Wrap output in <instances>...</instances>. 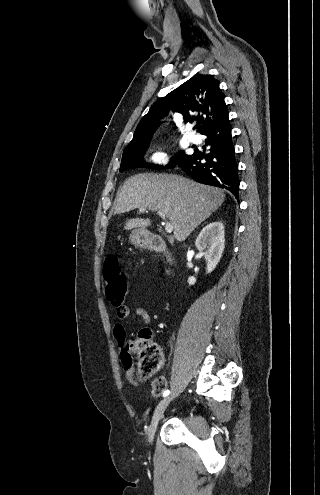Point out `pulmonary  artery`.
<instances>
[{
    "label": "pulmonary artery",
    "instance_id": "pulmonary-artery-1",
    "mask_svg": "<svg viewBox=\"0 0 320 495\" xmlns=\"http://www.w3.org/2000/svg\"><path fill=\"white\" fill-rule=\"evenodd\" d=\"M189 140H190L192 143L197 144V143H199V142L201 141V138H200L199 136H197V135H193V136H191V137H190V139H189Z\"/></svg>",
    "mask_w": 320,
    "mask_h": 495
}]
</instances>
